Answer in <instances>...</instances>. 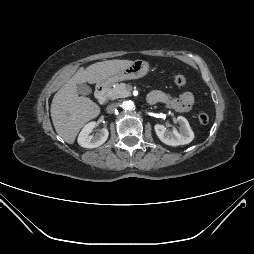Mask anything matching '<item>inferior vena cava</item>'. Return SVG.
<instances>
[{"label":"inferior vena cava","mask_w":254,"mask_h":254,"mask_svg":"<svg viewBox=\"0 0 254 254\" xmlns=\"http://www.w3.org/2000/svg\"><path fill=\"white\" fill-rule=\"evenodd\" d=\"M118 108V103H113V104H110L109 106H107L106 110H107V113H113L116 109Z\"/></svg>","instance_id":"602c4592"}]
</instances>
